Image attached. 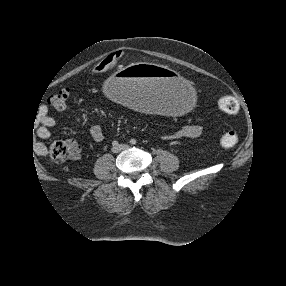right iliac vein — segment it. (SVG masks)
<instances>
[{
	"label": "right iliac vein",
	"instance_id": "right-iliac-vein-1",
	"mask_svg": "<svg viewBox=\"0 0 286 286\" xmlns=\"http://www.w3.org/2000/svg\"><path fill=\"white\" fill-rule=\"evenodd\" d=\"M120 151V149H119V147H117V146H114L113 148H112V152H114V153H118Z\"/></svg>",
	"mask_w": 286,
	"mask_h": 286
}]
</instances>
